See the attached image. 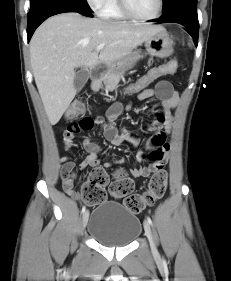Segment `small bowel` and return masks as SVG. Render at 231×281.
Returning <instances> with one entry per match:
<instances>
[{
	"label": "small bowel",
	"instance_id": "obj_1",
	"mask_svg": "<svg viewBox=\"0 0 231 281\" xmlns=\"http://www.w3.org/2000/svg\"><path fill=\"white\" fill-rule=\"evenodd\" d=\"M139 99H147L156 97L159 100L160 109L156 114V118L151 125V130L154 132L147 143L149 154L139 153L138 160H150L152 163L148 166L135 167L129 170V174L133 178L147 177L150 174L161 170L167 163L170 145L167 142L168 135L173 127V114L171 112L178 104V94L174 91L167 81H159L153 90H145L138 94ZM122 107L119 103H114L107 111V119L105 122L101 118L93 119L89 116L81 118L77 122L70 123L64 132V146L68 150L75 147L74 139L80 130H90L94 125H99L103 128V134L106 140L113 145H121L124 142H131L135 145L139 143V139L130 133L120 134L116 129L113 120L120 114ZM83 147L88 153L87 159L81 163V167L99 168L103 165L110 168L114 165L124 163V159L114 162L101 161L98 157L100 147L94 143L91 137H86L83 141ZM62 186L64 191L74 198H80L79 193L74 186L75 163L67 156L59 159Z\"/></svg>",
	"mask_w": 231,
	"mask_h": 281
}]
</instances>
